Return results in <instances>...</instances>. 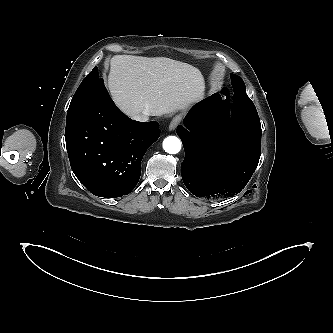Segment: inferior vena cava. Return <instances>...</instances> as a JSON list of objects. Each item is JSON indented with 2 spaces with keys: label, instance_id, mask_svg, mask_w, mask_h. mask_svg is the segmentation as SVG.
Returning <instances> with one entry per match:
<instances>
[{
  "label": "inferior vena cava",
  "instance_id": "1",
  "mask_svg": "<svg viewBox=\"0 0 333 333\" xmlns=\"http://www.w3.org/2000/svg\"><path fill=\"white\" fill-rule=\"evenodd\" d=\"M149 115H150L149 112L143 111L141 114H137V115L133 116L132 118L137 121L145 122V121H148Z\"/></svg>",
  "mask_w": 333,
  "mask_h": 333
}]
</instances>
